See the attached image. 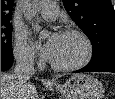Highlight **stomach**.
Segmentation results:
<instances>
[{"label":"stomach","instance_id":"1","mask_svg":"<svg viewBox=\"0 0 115 99\" xmlns=\"http://www.w3.org/2000/svg\"><path fill=\"white\" fill-rule=\"evenodd\" d=\"M56 89L66 99H103L105 92L102 83L87 74H75Z\"/></svg>","mask_w":115,"mask_h":99}]
</instances>
